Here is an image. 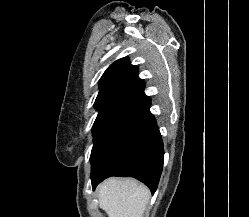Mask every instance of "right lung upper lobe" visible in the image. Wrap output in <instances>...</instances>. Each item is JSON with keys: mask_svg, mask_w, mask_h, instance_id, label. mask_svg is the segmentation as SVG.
Wrapping results in <instances>:
<instances>
[{"mask_svg": "<svg viewBox=\"0 0 249 217\" xmlns=\"http://www.w3.org/2000/svg\"><path fill=\"white\" fill-rule=\"evenodd\" d=\"M141 81L137 66L131 65L128 58H121L112 63L102 75L97 97L109 94L122 95Z\"/></svg>", "mask_w": 249, "mask_h": 217, "instance_id": "1", "label": "right lung upper lobe"}]
</instances>
